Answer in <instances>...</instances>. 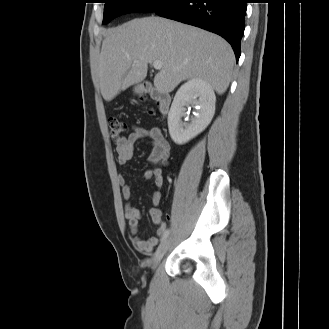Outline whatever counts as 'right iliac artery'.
Here are the masks:
<instances>
[{
    "label": "right iliac artery",
    "mask_w": 329,
    "mask_h": 329,
    "mask_svg": "<svg viewBox=\"0 0 329 329\" xmlns=\"http://www.w3.org/2000/svg\"><path fill=\"white\" fill-rule=\"evenodd\" d=\"M169 233H170L169 229L165 230V232L162 235L161 241L165 240L167 238V236L169 235Z\"/></svg>",
    "instance_id": "right-iliac-artery-1"
}]
</instances>
